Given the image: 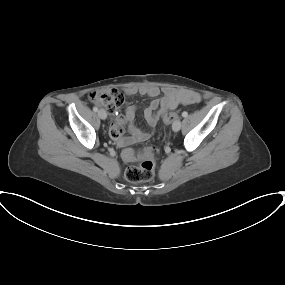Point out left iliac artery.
<instances>
[{
	"label": "left iliac artery",
	"mask_w": 285,
	"mask_h": 285,
	"mask_svg": "<svg viewBox=\"0 0 285 285\" xmlns=\"http://www.w3.org/2000/svg\"><path fill=\"white\" fill-rule=\"evenodd\" d=\"M188 116V113L187 112H183L182 113V117H187Z\"/></svg>",
	"instance_id": "obj_1"
}]
</instances>
